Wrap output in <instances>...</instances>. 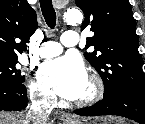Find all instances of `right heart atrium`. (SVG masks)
Listing matches in <instances>:
<instances>
[{
    "label": "right heart atrium",
    "instance_id": "right-heart-atrium-1",
    "mask_svg": "<svg viewBox=\"0 0 145 124\" xmlns=\"http://www.w3.org/2000/svg\"><path fill=\"white\" fill-rule=\"evenodd\" d=\"M29 92L35 103L41 107H54L56 104V98L54 94L44 88L39 82L31 81L29 85Z\"/></svg>",
    "mask_w": 145,
    "mask_h": 124
}]
</instances>
